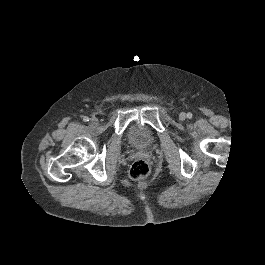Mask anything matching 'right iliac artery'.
I'll return each instance as SVG.
<instances>
[{"instance_id":"obj_1","label":"right iliac artery","mask_w":265,"mask_h":265,"mask_svg":"<svg viewBox=\"0 0 265 265\" xmlns=\"http://www.w3.org/2000/svg\"><path fill=\"white\" fill-rule=\"evenodd\" d=\"M83 121H84V122H88V121H89V118H88L87 116H85V117L83 118Z\"/></svg>"}]
</instances>
